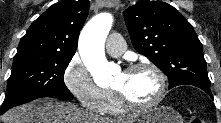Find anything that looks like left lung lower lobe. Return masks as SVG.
Here are the masks:
<instances>
[{
	"label": "left lung lower lobe",
	"instance_id": "obj_1",
	"mask_svg": "<svg viewBox=\"0 0 221 123\" xmlns=\"http://www.w3.org/2000/svg\"><path fill=\"white\" fill-rule=\"evenodd\" d=\"M191 85L196 86V87H198V88L204 90L207 94H209V95L211 96V98H213L212 93H211V91H210V87H208V86H203V85H199V84H191Z\"/></svg>",
	"mask_w": 221,
	"mask_h": 123
}]
</instances>
